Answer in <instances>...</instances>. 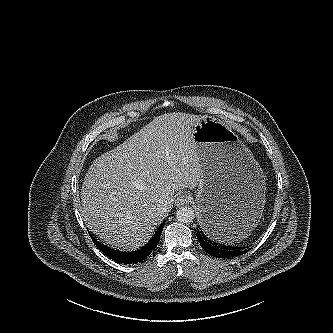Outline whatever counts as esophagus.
I'll use <instances>...</instances> for the list:
<instances>
[{
  "instance_id": "obj_1",
  "label": "esophagus",
  "mask_w": 333,
  "mask_h": 333,
  "mask_svg": "<svg viewBox=\"0 0 333 333\" xmlns=\"http://www.w3.org/2000/svg\"><path fill=\"white\" fill-rule=\"evenodd\" d=\"M190 196L186 193L179 194V196L175 200V205L180 207L190 201Z\"/></svg>"
}]
</instances>
